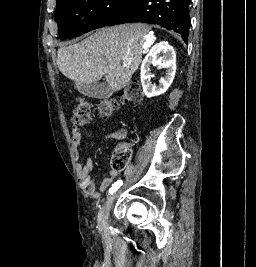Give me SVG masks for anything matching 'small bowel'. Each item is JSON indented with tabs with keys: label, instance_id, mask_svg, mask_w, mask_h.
Returning <instances> with one entry per match:
<instances>
[{
	"label": "small bowel",
	"instance_id": "small-bowel-1",
	"mask_svg": "<svg viewBox=\"0 0 256 267\" xmlns=\"http://www.w3.org/2000/svg\"><path fill=\"white\" fill-rule=\"evenodd\" d=\"M72 143L75 147L76 160L77 164V174L80 180V185L82 190L87 196L92 199H98L101 196V193L106 191L116 179L118 172L116 170H111L106 178L101 182L99 189H96L95 184L90 176V172L93 169V162L91 158L87 157L85 164L80 162L79 158V148L83 143V136L80 128L77 125L72 126ZM108 139L109 141H122V136H106L104 140Z\"/></svg>",
	"mask_w": 256,
	"mask_h": 267
}]
</instances>
